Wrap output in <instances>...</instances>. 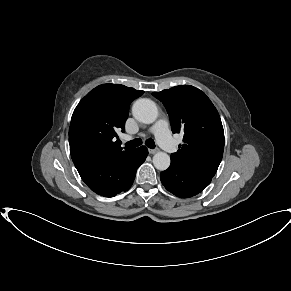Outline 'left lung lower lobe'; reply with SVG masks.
<instances>
[{
    "mask_svg": "<svg viewBox=\"0 0 291 291\" xmlns=\"http://www.w3.org/2000/svg\"><path fill=\"white\" fill-rule=\"evenodd\" d=\"M165 188L181 198H189L203 191L212 179L189 172L176 162L171 161L169 168L160 174Z\"/></svg>",
    "mask_w": 291,
    "mask_h": 291,
    "instance_id": "obj_1",
    "label": "left lung lower lobe"
}]
</instances>
